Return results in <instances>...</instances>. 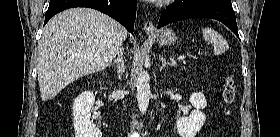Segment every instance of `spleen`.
I'll list each match as a JSON object with an SVG mask.
<instances>
[{
	"label": "spleen",
	"mask_w": 280,
	"mask_h": 137,
	"mask_svg": "<svg viewBox=\"0 0 280 137\" xmlns=\"http://www.w3.org/2000/svg\"><path fill=\"white\" fill-rule=\"evenodd\" d=\"M201 31L204 39L212 44L215 55L228 51L229 45L227 41L217 31L209 27L202 28Z\"/></svg>",
	"instance_id": "1"
}]
</instances>
